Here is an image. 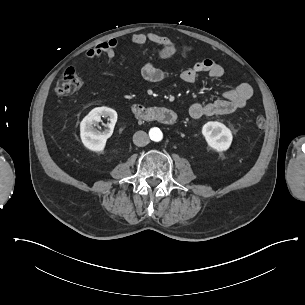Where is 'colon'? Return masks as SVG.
Returning a JSON list of instances; mask_svg holds the SVG:
<instances>
[{
  "instance_id": "5ec220e1",
  "label": "colon",
  "mask_w": 305,
  "mask_h": 305,
  "mask_svg": "<svg viewBox=\"0 0 305 305\" xmlns=\"http://www.w3.org/2000/svg\"><path fill=\"white\" fill-rule=\"evenodd\" d=\"M130 39V36H126L125 38L121 39V42L127 41ZM175 47L171 46V49L173 50ZM180 50L183 53L190 54L193 52L194 47L192 45H186L180 47ZM81 86V78L76 73L74 69H68L64 72L61 79L57 82L55 91L56 94L59 97H65L68 96L74 92H76ZM255 123L258 127H264L265 126V118L262 115H258L255 119Z\"/></svg>"
}]
</instances>
